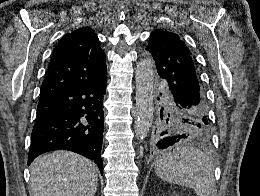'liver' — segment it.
Returning <instances> with one entry per match:
<instances>
[{"label":"liver","mask_w":260,"mask_h":196,"mask_svg":"<svg viewBox=\"0 0 260 196\" xmlns=\"http://www.w3.org/2000/svg\"><path fill=\"white\" fill-rule=\"evenodd\" d=\"M98 174L92 162L73 152H51L31 164L30 196H94Z\"/></svg>","instance_id":"liver-1"}]
</instances>
